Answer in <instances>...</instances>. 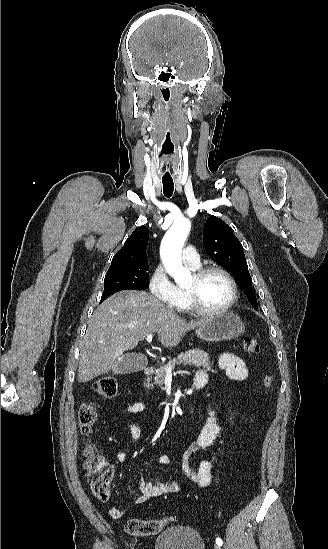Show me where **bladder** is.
Returning a JSON list of instances; mask_svg holds the SVG:
<instances>
[{"label": "bladder", "mask_w": 328, "mask_h": 549, "mask_svg": "<svg viewBox=\"0 0 328 549\" xmlns=\"http://www.w3.org/2000/svg\"><path fill=\"white\" fill-rule=\"evenodd\" d=\"M155 549H203V540L199 532L178 526L159 534Z\"/></svg>", "instance_id": "obj_1"}]
</instances>
